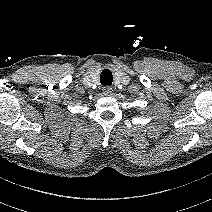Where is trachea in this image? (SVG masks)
Segmentation results:
<instances>
[{
	"mask_svg": "<svg viewBox=\"0 0 212 212\" xmlns=\"http://www.w3.org/2000/svg\"><path fill=\"white\" fill-rule=\"evenodd\" d=\"M113 76L110 70L105 69L100 75V82L103 86H109L112 84Z\"/></svg>",
	"mask_w": 212,
	"mask_h": 212,
	"instance_id": "3493384b",
	"label": "trachea"
}]
</instances>
